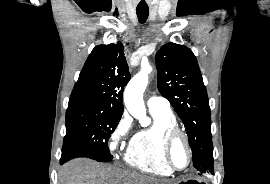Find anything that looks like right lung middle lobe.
Here are the masks:
<instances>
[{"label": "right lung middle lobe", "mask_w": 270, "mask_h": 184, "mask_svg": "<svg viewBox=\"0 0 270 184\" xmlns=\"http://www.w3.org/2000/svg\"><path fill=\"white\" fill-rule=\"evenodd\" d=\"M120 119L121 116L99 110L87 102H69L60 162L75 157H88L100 162L112 160L107 143Z\"/></svg>", "instance_id": "right-lung-middle-lobe-1"}]
</instances>
